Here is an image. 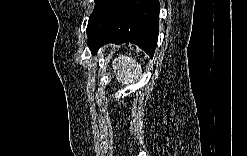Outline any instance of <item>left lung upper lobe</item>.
<instances>
[{
    "mask_svg": "<svg viewBox=\"0 0 247 156\" xmlns=\"http://www.w3.org/2000/svg\"><path fill=\"white\" fill-rule=\"evenodd\" d=\"M103 1L104 0H95V7H94V10H93L92 14L89 17L88 26L91 23L92 19L94 18V15H95L96 11L100 7V5L103 3ZM88 26H87V28H88Z\"/></svg>",
    "mask_w": 247,
    "mask_h": 156,
    "instance_id": "1",
    "label": "left lung upper lobe"
}]
</instances>
